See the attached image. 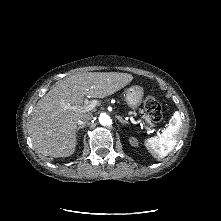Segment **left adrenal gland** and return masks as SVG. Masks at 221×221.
<instances>
[{"mask_svg":"<svg viewBox=\"0 0 221 221\" xmlns=\"http://www.w3.org/2000/svg\"><path fill=\"white\" fill-rule=\"evenodd\" d=\"M118 119L122 124H128V122L124 120L122 117L118 116Z\"/></svg>","mask_w":221,"mask_h":221,"instance_id":"obj_1","label":"left adrenal gland"}]
</instances>
